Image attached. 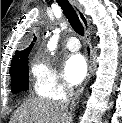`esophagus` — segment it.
<instances>
[{
  "label": "esophagus",
  "mask_w": 122,
  "mask_h": 123,
  "mask_svg": "<svg viewBox=\"0 0 122 123\" xmlns=\"http://www.w3.org/2000/svg\"><path fill=\"white\" fill-rule=\"evenodd\" d=\"M71 4L73 5L74 9L76 10L78 17L85 29V44H86V59L88 63V73L87 76L84 80V82L80 85L78 90L75 93L74 100L78 99L80 94L83 92L85 86L90 80L91 73H92V42H91V32H90V25L87 17L84 14V11L82 7L76 2V1H71Z\"/></svg>",
  "instance_id": "1"
}]
</instances>
